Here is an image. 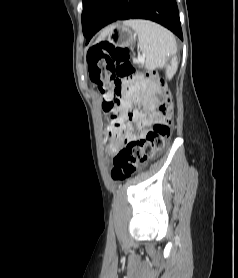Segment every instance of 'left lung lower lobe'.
<instances>
[{
    "mask_svg": "<svg viewBox=\"0 0 238 278\" xmlns=\"http://www.w3.org/2000/svg\"><path fill=\"white\" fill-rule=\"evenodd\" d=\"M130 18L152 20L183 39L176 0H106L86 35L87 43L104 26Z\"/></svg>",
    "mask_w": 238,
    "mask_h": 278,
    "instance_id": "left-lung-lower-lobe-1",
    "label": "left lung lower lobe"
}]
</instances>
